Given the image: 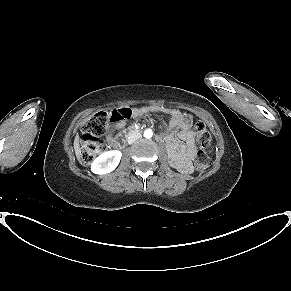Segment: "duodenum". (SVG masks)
I'll return each instance as SVG.
<instances>
[{"mask_svg": "<svg viewBox=\"0 0 291 291\" xmlns=\"http://www.w3.org/2000/svg\"><path fill=\"white\" fill-rule=\"evenodd\" d=\"M140 130H141V127L137 123L129 125L127 128L123 129L122 131L116 134L115 140H114V146L123 147L125 145L126 139L132 137L134 134L139 133Z\"/></svg>", "mask_w": 291, "mask_h": 291, "instance_id": "duodenum-1", "label": "duodenum"}]
</instances>
